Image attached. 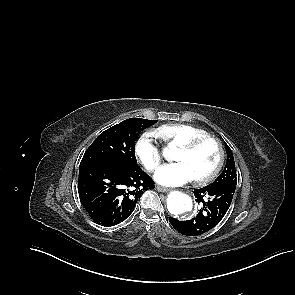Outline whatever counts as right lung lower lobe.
I'll list each match as a JSON object with an SVG mask.
<instances>
[{
	"mask_svg": "<svg viewBox=\"0 0 295 295\" xmlns=\"http://www.w3.org/2000/svg\"><path fill=\"white\" fill-rule=\"evenodd\" d=\"M154 182L134 163L116 161L79 168L78 192L91 218L114 226L127 219Z\"/></svg>",
	"mask_w": 295,
	"mask_h": 295,
	"instance_id": "right-lung-lower-lobe-1",
	"label": "right lung lower lobe"
}]
</instances>
